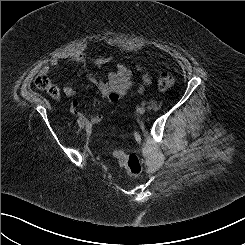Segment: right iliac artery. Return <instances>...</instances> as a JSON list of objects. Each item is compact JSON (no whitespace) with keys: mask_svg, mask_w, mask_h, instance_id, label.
I'll use <instances>...</instances> for the list:
<instances>
[{"mask_svg":"<svg viewBox=\"0 0 245 245\" xmlns=\"http://www.w3.org/2000/svg\"><path fill=\"white\" fill-rule=\"evenodd\" d=\"M79 126L81 125V123H83L80 119L77 120Z\"/></svg>","mask_w":245,"mask_h":245,"instance_id":"obj_1","label":"right iliac artery"}]
</instances>
